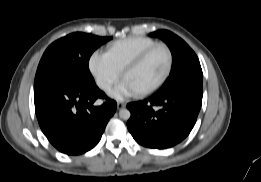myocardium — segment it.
<instances>
[{"instance_id":"myocardium-1","label":"myocardium","mask_w":261,"mask_h":182,"mask_svg":"<svg viewBox=\"0 0 261 182\" xmlns=\"http://www.w3.org/2000/svg\"><path fill=\"white\" fill-rule=\"evenodd\" d=\"M159 48H162L167 52V55H168L167 69H166L164 75L162 76V78L156 84H154L153 86H151V87H149V88L138 93L141 96L148 95V94H151V93L157 91L158 89H160L166 83V81L170 77L172 69H173V65H174V55H173L171 48L164 43H157V44L147 48L142 53H140L122 71V78L124 79L125 76L129 72L138 68L153 51H155L156 49H159Z\"/></svg>"}]
</instances>
